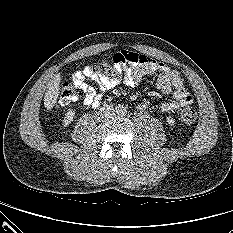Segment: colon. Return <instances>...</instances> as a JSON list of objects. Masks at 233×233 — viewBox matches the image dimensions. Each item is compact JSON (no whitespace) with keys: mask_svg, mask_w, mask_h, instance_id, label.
<instances>
[{"mask_svg":"<svg viewBox=\"0 0 233 233\" xmlns=\"http://www.w3.org/2000/svg\"><path fill=\"white\" fill-rule=\"evenodd\" d=\"M95 70L99 73L108 75L114 78H121L122 75V68L116 62V60L112 59V61L107 59L100 60L96 66ZM81 92L74 88L70 83H63L60 88L59 98H58V105L66 106L70 103L76 101ZM197 118L196 110L190 106H184L180 112V119L185 124L193 123Z\"/></svg>","mask_w":233,"mask_h":233,"instance_id":"colon-1","label":"colon"}]
</instances>
